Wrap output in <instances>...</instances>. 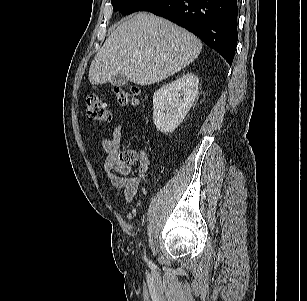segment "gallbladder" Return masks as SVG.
I'll return each mask as SVG.
<instances>
[{
	"mask_svg": "<svg viewBox=\"0 0 307 301\" xmlns=\"http://www.w3.org/2000/svg\"><path fill=\"white\" fill-rule=\"evenodd\" d=\"M128 81L129 79L126 76L120 74L115 75L110 79V83L116 87L124 86L128 83Z\"/></svg>",
	"mask_w": 307,
	"mask_h": 301,
	"instance_id": "gallbladder-1",
	"label": "gallbladder"
}]
</instances>
